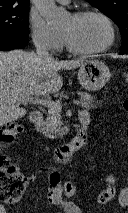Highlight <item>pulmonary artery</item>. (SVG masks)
Segmentation results:
<instances>
[{
  "instance_id": "pulmonary-artery-1",
  "label": "pulmonary artery",
  "mask_w": 128,
  "mask_h": 213,
  "mask_svg": "<svg viewBox=\"0 0 128 213\" xmlns=\"http://www.w3.org/2000/svg\"><path fill=\"white\" fill-rule=\"evenodd\" d=\"M62 4H68L70 2V0H56Z\"/></svg>"
}]
</instances>
